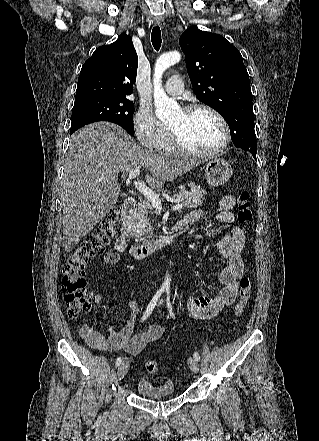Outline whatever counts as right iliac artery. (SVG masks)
I'll use <instances>...</instances> for the list:
<instances>
[{
	"mask_svg": "<svg viewBox=\"0 0 319 441\" xmlns=\"http://www.w3.org/2000/svg\"><path fill=\"white\" fill-rule=\"evenodd\" d=\"M161 294H162V290H158L157 293L154 295V297L152 298V300L148 304V306H147V308H146V310L140 320L141 322H143L146 318H148L151 315ZM121 362H122V358L119 357L115 362V366L116 367L120 366Z\"/></svg>",
	"mask_w": 319,
	"mask_h": 441,
	"instance_id": "1",
	"label": "right iliac artery"
}]
</instances>
